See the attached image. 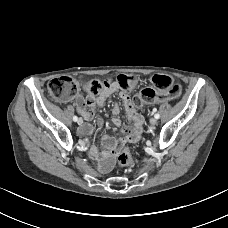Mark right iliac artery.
<instances>
[{
	"label": "right iliac artery",
	"instance_id": "obj_1",
	"mask_svg": "<svg viewBox=\"0 0 228 228\" xmlns=\"http://www.w3.org/2000/svg\"><path fill=\"white\" fill-rule=\"evenodd\" d=\"M78 120V117L77 116H74L73 117V121H77Z\"/></svg>",
	"mask_w": 228,
	"mask_h": 228
}]
</instances>
